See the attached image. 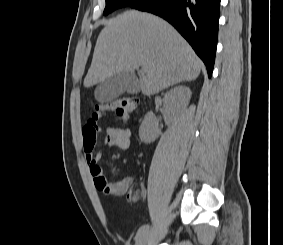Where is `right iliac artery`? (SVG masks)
<instances>
[{"instance_id": "1", "label": "right iliac artery", "mask_w": 283, "mask_h": 245, "mask_svg": "<svg viewBox=\"0 0 283 245\" xmlns=\"http://www.w3.org/2000/svg\"><path fill=\"white\" fill-rule=\"evenodd\" d=\"M148 228H149V225H143V226H141V227L138 229V231H137V234H136V236H135V241H137L138 238H139L143 233H145V232L148 230Z\"/></svg>"}]
</instances>
